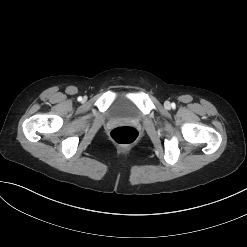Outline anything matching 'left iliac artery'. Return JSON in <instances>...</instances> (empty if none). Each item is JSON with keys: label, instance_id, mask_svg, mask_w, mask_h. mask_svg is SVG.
Returning <instances> with one entry per match:
<instances>
[{"label": "left iliac artery", "instance_id": "44dca946", "mask_svg": "<svg viewBox=\"0 0 247 247\" xmlns=\"http://www.w3.org/2000/svg\"><path fill=\"white\" fill-rule=\"evenodd\" d=\"M172 107H173V108L175 107V104H174V103H172Z\"/></svg>", "mask_w": 247, "mask_h": 247}]
</instances>
